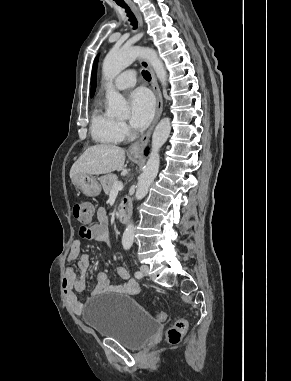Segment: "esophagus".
I'll list each match as a JSON object with an SVG mask.
<instances>
[{
	"instance_id": "obj_1",
	"label": "esophagus",
	"mask_w": 291,
	"mask_h": 381,
	"mask_svg": "<svg viewBox=\"0 0 291 381\" xmlns=\"http://www.w3.org/2000/svg\"><path fill=\"white\" fill-rule=\"evenodd\" d=\"M129 6H130L131 10L133 11V13L135 14L140 25L143 26L142 16L139 13L136 6L133 5L132 3H130ZM140 63L144 68L148 69V71L151 74V85H152V89H153L155 96H156V112H155L154 120H153L150 128L147 130V132L144 135H142L141 138H139L137 141H135L134 143H132L130 145L128 150L131 154H134V155H142L143 150L146 147V145L148 144L149 139L151 137V134H152L157 122L159 121L161 114H162V111H163V98H162V94H161L155 73H154L151 65L149 64V62L146 59H141Z\"/></svg>"
}]
</instances>
